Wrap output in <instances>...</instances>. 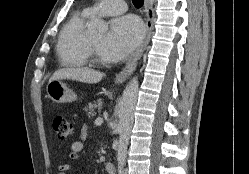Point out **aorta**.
<instances>
[{
  "label": "aorta",
  "mask_w": 249,
  "mask_h": 174,
  "mask_svg": "<svg viewBox=\"0 0 249 174\" xmlns=\"http://www.w3.org/2000/svg\"><path fill=\"white\" fill-rule=\"evenodd\" d=\"M107 28L106 23L100 18H94L90 22L89 29L93 33L104 32ZM139 82L137 77H133L125 87L118 111L119 124L117 127L119 133V144L117 151L118 173L124 174L123 168L127 156V145L131 133L134 111L137 102Z\"/></svg>",
  "instance_id": "obj_1"
}]
</instances>
